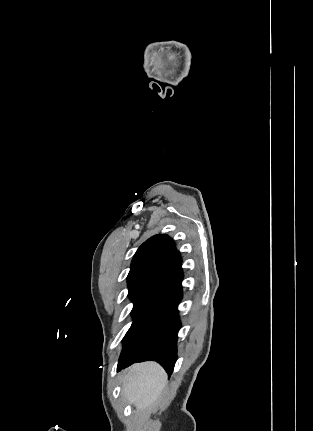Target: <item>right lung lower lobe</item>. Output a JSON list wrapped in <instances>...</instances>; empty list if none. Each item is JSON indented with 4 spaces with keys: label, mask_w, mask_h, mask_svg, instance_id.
Here are the masks:
<instances>
[{
    "label": "right lung lower lobe",
    "mask_w": 313,
    "mask_h": 431,
    "mask_svg": "<svg viewBox=\"0 0 313 431\" xmlns=\"http://www.w3.org/2000/svg\"><path fill=\"white\" fill-rule=\"evenodd\" d=\"M182 279L179 269L134 316L124 338L118 370L135 362L156 361L170 377L177 359V333L181 326L177 306L182 299Z\"/></svg>",
    "instance_id": "obj_1"
}]
</instances>
